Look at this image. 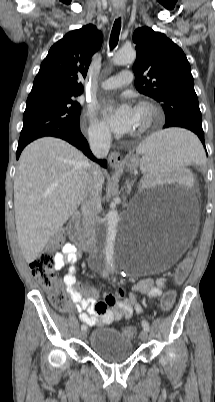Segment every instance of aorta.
I'll list each match as a JSON object with an SVG mask.
<instances>
[{
    "mask_svg": "<svg viewBox=\"0 0 215 402\" xmlns=\"http://www.w3.org/2000/svg\"><path fill=\"white\" fill-rule=\"evenodd\" d=\"M136 59V51L133 48L120 49L113 57L114 65L131 64ZM118 212L113 207L107 214V224L105 230L100 236L96 249V256L104 261L111 268L117 264L120 254L115 244L116 239V224L118 221Z\"/></svg>",
    "mask_w": 215,
    "mask_h": 402,
    "instance_id": "obj_1",
    "label": "aorta"
}]
</instances>
